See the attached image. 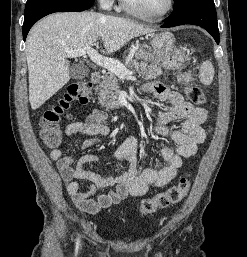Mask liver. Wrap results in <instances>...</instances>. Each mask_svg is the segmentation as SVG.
Segmentation results:
<instances>
[{"label": "liver", "mask_w": 247, "mask_h": 257, "mask_svg": "<svg viewBox=\"0 0 247 257\" xmlns=\"http://www.w3.org/2000/svg\"><path fill=\"white\" fill-rule=\"evenodd\" d=\"M152 31L134 21L93 11L55 13L45 17L31 29L27 38L31 108H39L68 83L67 49L92 47L101 39L102 52L111 54L134 37Z\"/></svg>", "instance_id": "1"}]
</instances>
